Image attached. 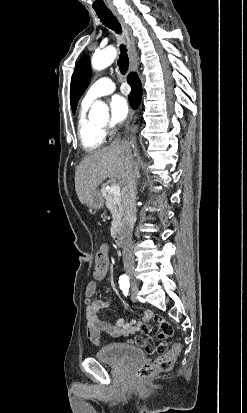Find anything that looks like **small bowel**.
<instances>
[{"mask_svg": "<svg viewBox=\"0 0 247 413\" xmlns=\"http://www.w3.org/2000/svg\"><path fill=\"white\" fill-rule=\"evenodd\" d=\"M92 281L85 288L84 316L86 333L93 344L99 343L102 333H107L113 338H124L139 332L143 327L145 331L143 334L135 335L133 347L146 349L148 355H155L157 349L154 342L150 340L155 336V331H169L168 335H173L172 323L164 322L162 315H154L150 310L144 311L141 316L131 319L130 322H126L124 317H120L115 324L107 322L101 314V310L107 309L110 306L109 302L101 299L92 300L97 291V283H102L104 276L94 274ZM158 353L164 354L165 348L159 347Z\"/></svg>", "mask_w": 247, "mask_h": 413, "instance_id": "small-bowel-1", "label": "small bowel"}]
</instances>
